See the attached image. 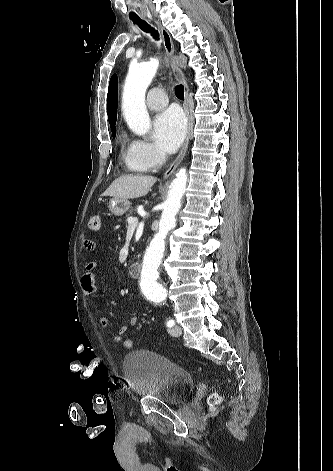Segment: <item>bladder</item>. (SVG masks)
Listing matches in <instances>:
<instances>
[{"label":"bladder","mask_w":333,"mask_h":471,"mask_svg":"<svg viewBox=\"0 0 333 471\" xmlns=\"http://www.w3.org/2000/svg\"><path fill=\"white\" fill-rule=\"evenodd\" d=\"M123 374L136 395L169 405L184 403L195 386L187 370L162 354L149 350L128 353L123 361Z\"/></svg>","instance_id":"bladder-1"}]
</instances>
